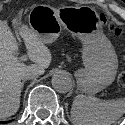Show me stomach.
Segmentation results:
<instances>
[{
	"instance_id": "1",
	"label": "stomach",
	"mask_w": 125,
	"mask_h": 125,
	"mask_svg": "<svg viewBox=\"0 0 125 125\" xmlns=\"http://www.w3.org/2000/svg\"><path fill=\"white\" fill-rule=\"evenodd\" d=\"M28 22L44 44L53 43L63 29L81 40L84 68L76 72L81 92L94 95L114 81L118 68L116 53L97 17L85 7L55 9L37 5L30 11Z\"/></svg>"
}]
</instances>
